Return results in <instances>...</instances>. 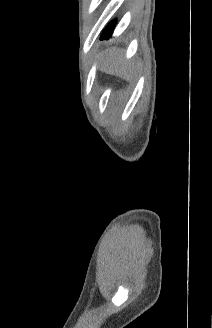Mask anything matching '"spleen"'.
Masks as SVG:
<instances>
[{
	"instance_id": "spleen-1",
	"label": "spleen",
	"mask_w": 212,
	"mask_h": 328,
	"mask_svg": "<svg viewBox=\"0 0 212 328\" xmlns=\"http://www.w3.org/2000/svg\"><path fill=\"white\" fill-rule=\"evenodd\" d=\"M125 79H130V75L124 74Z\"/></svg>"
}]
</instances>
